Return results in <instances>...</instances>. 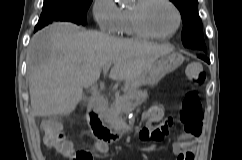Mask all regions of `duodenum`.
I'll return each mask as SVG.
<instances>
[{"instance_id":"obj_1","label":"duodenum","mask_w":242,"mask_h":160,"mask_svg":"<svg viewBox=\"0 0 242 160\" xmlns=\"http://www.w3.org/2000/svg\"><path fill=\"white\" fill-rule=\"evenodd\" d=\"M105 98L103 96L94 97L87 107V120L95 140L104 143L115 142L126 135L127 129H111L102 119L101 113L104 108Z\"/></svg>"}]
</instances>
